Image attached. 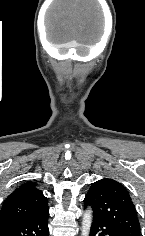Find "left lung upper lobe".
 <instances>
[{"instance_id":"obj_1","label":"left lung upper lobe","mask_w":145,"mask_h":236,"mask_svg":"<svg viewBox=\"0 0 145 236\" xmlns=\"http://www.w3.org/2000/svg\"><path fill=\"white\" fill-rule=\"evenodd\" d=\"M84 205L91 206L93 215L121 236H140L135 206L119 182L108 178L96 181L85 196Z\"/></svg>"}]
</instances>
